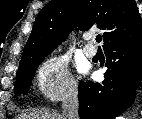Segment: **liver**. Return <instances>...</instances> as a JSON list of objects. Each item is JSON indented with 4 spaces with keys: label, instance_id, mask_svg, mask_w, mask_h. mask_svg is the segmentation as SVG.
<instances>
[{
    "label": "liver",
    "instance_id": "1",
    "mask_svg": "<svg viewBox=\"0 0 142 119\" xmlns=\"http://www.w3.org/2000/svg\"><path fill=\"white\" fill-rule=\"evenodd\" d=\"M23 117L32 119H64V116L58 115L56 113H51L49 111H33L30 114H25Z\"/></svg>",
    "mask_w": 142,
    "mask_h": 119
}]
</instances>
